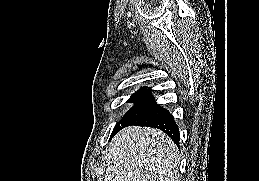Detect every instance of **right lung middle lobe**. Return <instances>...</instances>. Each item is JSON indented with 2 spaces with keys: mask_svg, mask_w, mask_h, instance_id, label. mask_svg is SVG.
<instances>
[{
  "mask_svg": "<svg viewBox=\"0 0 259 181\" xmlns=\"http://www.w3.org/2000/svg\"><path fill=\"white\" fill-rule=\"evenodd\" d=\"M154 101V98L151 96V90L146 87H142L134 93L127 102H134V106L126 112L122 119L116 124L112 133L118 130L121 127L126 126L127 124L134 121L139 117L146 108Z\"/></svg>",
  "mask_w": 259,
  "mask_h": 181,
  "instance_id": "1",
  "label": "right lung middle lobe"
}]
</instances>
